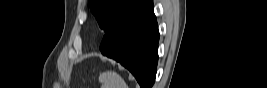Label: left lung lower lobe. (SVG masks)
Segmentation results:
<instances>
[{
  "label": "left lung lower lobe",
  "mask_w": 267,
  "mask_h": 88,
  "mask_svg": "<svg viewBox=\"0 0 267 88\" xmlns=\"http://www.w3.org/2000/svg\"><path fill=\"white\" fill-rule=\"evenodd\" d=\"M158 40L152 0H142L106 32L100 50L126 67L141 88H151L156 75Z\"/></svg>",
  "instance_id": "1"
}]
</instances>
